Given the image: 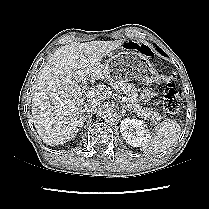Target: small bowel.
Instances as JSON below:
<instances>
[{
	"label": "small bowel",
	"instance_id": "1",
	"mask_svg": "<svg viewBox=\"0 0 209 209\" xmlns=\"http://www.w3.org/2000/svg\"><path fill=\"white\" fill-rule=\"evenodd\" d=\"M154 96L153 92L150 90H145L142 94H141V99L143 101H147L149 99H151Z\"/></svg>",
	"mask_w": 209,
	"mask_h": 209
}]
</instances>
